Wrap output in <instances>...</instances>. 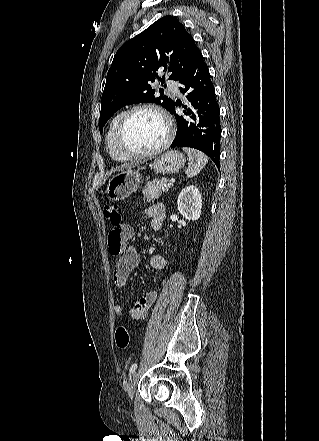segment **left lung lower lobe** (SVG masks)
I'll list each match as a JSON object with an SVG mask.
<instances>
[{"label":"left lung lower lobe","mask_w":319,"mask_h":441,"mask_svg":"<svg viewBox=\"0 0 319 441\" xmlns=\"http://www.w3.org/2000/svg\"><path fill=\"white\" fill-rule=\"evenodd\" d=\"M182 94H187L185 116L177 115L175 103L169 112L175 114L177 133L171 147H192L207 154L219 168L221 126L220 109L215 98V88L209 69L200 53L192 65L179 78ZM177 106V103H176Z\"/></svg>","instance_id":"left-lung-lower-lobe-1"}]
</instances>
